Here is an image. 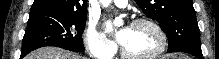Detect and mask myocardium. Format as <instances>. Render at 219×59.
Here are the masks:
<instances>
[{"label":"myocardium","mask_w":219,"mask_h":59,"mask_svg":"<svg viewBox=\"0 0 219 59\" xmlns=\"http://www.w3.org/2000/svg\"><path fill=\"white\" fill-rule=\"evenodd\" d=\"M148 25L157 33L159 37L158 47L151 53L146 55H133L125 50V48L120 46L121 56L125 59H154L163 54L167 48L168 38L166 32L163 28L154 20L149 18H139L132 22L131 26Z\"/></svg>","instance_id":"obj_1"}]
</instances>
